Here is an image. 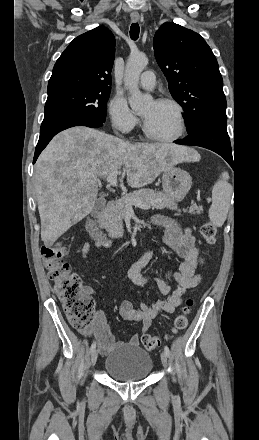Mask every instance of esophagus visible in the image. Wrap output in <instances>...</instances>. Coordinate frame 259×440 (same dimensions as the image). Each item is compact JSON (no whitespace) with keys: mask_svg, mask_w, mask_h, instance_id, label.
<instances>
[{"mask_svg":"<svg viewBox=\"0 0 259 440\" xmlns=\"http://www.w3.org/2000/svg\"><path fill=\"white\" fill-rule=\"evenodd\" d=\"M139 19H140V16L138 14H132L131 15V20L133 22H137V21H139Z\"/></svg>","mask_w":259,"mask_h":440,"instance_id":"34e87169","label":"esophagus"}]
</instances>
